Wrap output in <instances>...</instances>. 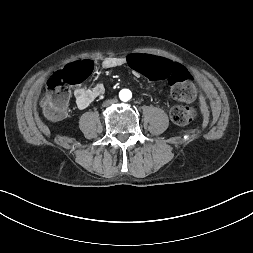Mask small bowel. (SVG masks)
<instances>
[{
    "label": "small bowel",
    "instance_id": "c3829d8e",
    "mask_svg": "<svg viewBox=\"0 0 253 253\" xmlns=\"http://www.w3.org/2000/svg\"><path fill=\"white\" fill-rule=\"evenodd\" d=\"M128 57L108 56L104 58L101 65L105 69H112L122 66H127ZM154 57V56H153ZM105 89L102 84H97L92 88L79 87L74 90V98L76 105L80 109L87 108L96 98L104 93Z\"/></svg>",
    "mask_w": 253,
    "mask_h": 253
}]
</instances>
